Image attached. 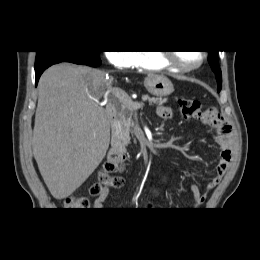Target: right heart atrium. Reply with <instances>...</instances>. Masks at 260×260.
<instances>
[{
    "label": "right heart atrium",
    "instance_id": "obj_1",
    "mask_svg": "<svg viewBox=\"0 0 260 260\" xmlns=\"http://www.w3.org/2000/svg\"><path fill=\"white\" fill-rule=\"evenodd\" d=\"M106 56L109 62L119 69L131 68L135 63V53L132 51H109Z\"/></svg>",
    "mask_w": 260,
    "mask_h": 260
}]
</instances>
